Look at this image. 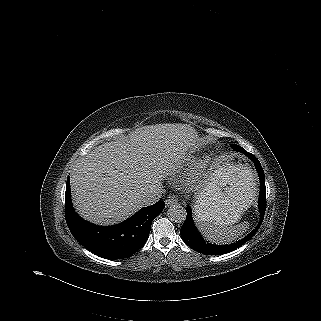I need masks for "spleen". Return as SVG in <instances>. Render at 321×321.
Segmentation results:
<instances>
[{
  "mask_svg": "<svg viewBox=\"0 0 321 321\" xmlns=\"http://www.w3.org/2000/svg\"><path fill=\"white\" fill-rule=\"evenodd\" d=\"M200 232L211 242L227 244L240 238L248 229L249 222L229 226L217 211H205L195 217Z\"/></svg>",
  "mask_w": 321,
  "mask_h": 321,
  "instance_id": "obj_1",
  "label": "spleen"
}]
</instances>
